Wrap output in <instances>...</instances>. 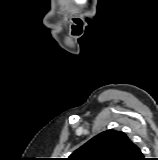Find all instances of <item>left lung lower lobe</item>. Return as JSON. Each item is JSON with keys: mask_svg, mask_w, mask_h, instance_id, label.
<instances>
[{"mask_svg": "<svg viewBox=\"0 0 158 160\" xmlns=\"http://www.w3.org/2000/svg\"><path fill=\"white\" fill-rule=\"evenodd\" d=\"M131 160H145V158H143L141 150L138 147H136Z\"/></svg>", "mask_w": 158, "mask_h": 160, "instance_id": "obj_1", "label": "left lung lower lobe"}]
</instances>
